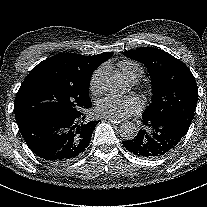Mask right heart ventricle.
I'll use <instances>...</instances> for the list:
<instances>
[{"label": "right heart ventricle", "mask_w": 207, "mask_h": 207, "mask_svg": "<svg viewBox=\"0 0 207 207\" xmlns=\"http://www.w3.org/2000/svg\"><path fill=\"white\" fill-rule=\"evenodd\" d=\"M119 67L129 80L133 76H137V78H139L142 74V69L131 61H123L119 64Z\"/></svg>", "instance_id": "1"}]
</instances>
